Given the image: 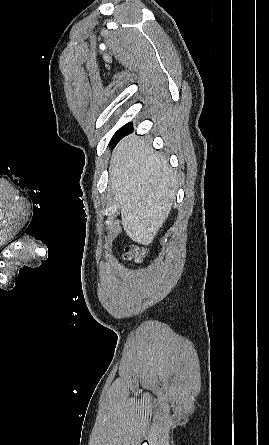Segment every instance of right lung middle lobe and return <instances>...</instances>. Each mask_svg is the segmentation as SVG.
<instances>
[{"instance_id":"right-lung-middle-lobe-1","label":"right lung middle lobe","mask_w":269,"mask_h":445,"mask_svg":"<svg viewBox=\"0 0 269 445\" xmlns=\"http://www.w3.org/2000/svg\"><path fill=\"white\" fill-rule=\"evenodd\" d=\"M132 128V125H131V123H128V124H126V125H124L123 127H121L115 134H114V136L112 137V139L110 140V143H109V145L110 144H112L113 143V145H115L117 142H118V140L129 130V129H131Z\"/></svg>"}]
</instances>
